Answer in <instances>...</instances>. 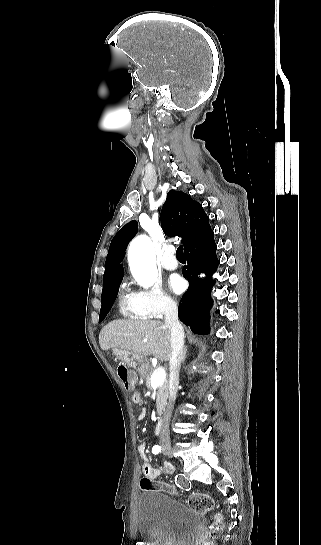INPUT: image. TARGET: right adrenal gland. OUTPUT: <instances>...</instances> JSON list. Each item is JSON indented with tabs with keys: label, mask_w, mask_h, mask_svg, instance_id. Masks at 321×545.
Listing matches in <instances>:
<instances>
[{
	"label": "right adrenal gland",
	"mask_w": 321,
	"mask_h": 545,
	"mask_svg": "<svg viewBox=\"0 0 321 545\" xmlns=\"http://www.w3.org/2000/svg\"><path fill=\"white\" fill-rule=\"evenodd\" d=\"M186 351H187V347H185V349H184L183 359H182L183 363H184V361L186 359Z\"/></svg>",
	"instance_id": "1"
}]
</instances>
